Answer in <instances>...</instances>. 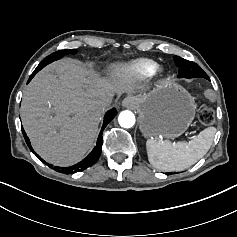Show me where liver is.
<instances>
[{
	"mask_svg": "<svg viewBox=\"0 0 237 237\" xmlns=\"http://www.w3.org/2000/svg\"><path fill=\"white\" fill-rule=\"evenodd\" d=\"M131 82L110 84L80 62L62 60L40 71L23 94L21 119L35 151L68 166L92 146L103 108L102 95L135 92Z\"/></svg>",
	"mask_w": 237,
	"mask_h": 237,
	"instance_id": "obj_1",
	"label": "liver"
}]
</instances>
